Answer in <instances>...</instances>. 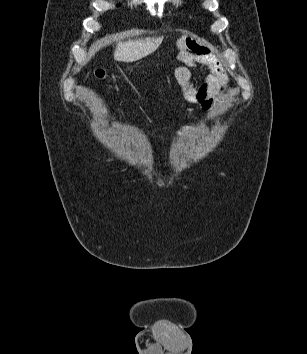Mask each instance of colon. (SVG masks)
<instances>
[{"label":"colon","mask_w":307,"mask_h":354,"mask_svg":"<svg viewBox=\"0 0 307 354\" xmlns=\"http://www.w3.org/2000/svg\"><path fill=\"white\" fill-rule=\"evenodd\" d=\"M95 74H96V76H97L98 78H104V77L106 76V73H105L104 70H97V71L95 72Z\"/></svg>","instance_id":"colon-1"}]
</instances>
